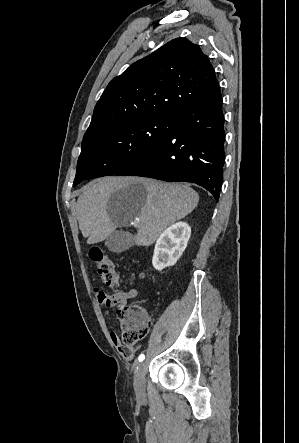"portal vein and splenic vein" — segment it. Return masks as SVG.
<instances>
[{
  "mask_svg": "<svg viewBox=\"0 0 299 443\" xmlns=\"http://www.w3.org/2000/svg\"><path fill=\"white\" fill-rule=\"evenodd\" d=\"M139 222H140V220H139L138 218H136V219L132 222V224H133L135 227H138Z\"/></svg>",
  "mask_w": 299,
  "mask_h": 443,
  "instance_id": "obj_1",
  "label": "portal vein and splenic vein"
}]
</instances>
